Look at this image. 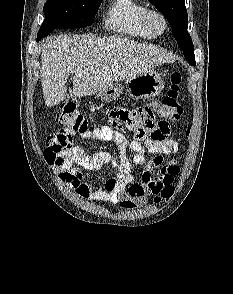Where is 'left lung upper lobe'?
Wrapping results in <instances>:
<instances>
[{"instance_id":"5c2ea615","label":"left lung upper lobe","mask_w":233,"mask_h":294,"mask_svg":"<svg viewBox=\"0 0 233 294\" xmlns=\"http://www.w3.org/2000/svg\"><path fill=\"white\" fill-rule=\"evenodd\" d=\"M167 18L184 57L191 65H196L194 46L187 32L188 16L184 0H149Z\"/></svg>"}]
</instances>
